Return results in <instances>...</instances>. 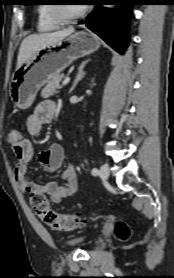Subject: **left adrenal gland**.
I'll return each instance as SVG.
<instances>
[{
	"mask_svg": "<svg viewBox=\"0 0 174 278\" xmlns=\"http://www.w3.org/2000/svg\"><path fill=\"white\" fill-rule=\"evenodd\" d=\"M89 61H90V59H87L86 61H83L81 63V65L79 66L77 76L74 80V83H73L72 87L69 90V93H72V91L75 89L78 82L81 81L83 79V77L86 75V73L83 71V69Z\"/></svg>",
	"mask_w": 174,
	"mask_h": 278,
	"instance_id": "1",
	"label": "left adrenal gland"
}]
</instances>
